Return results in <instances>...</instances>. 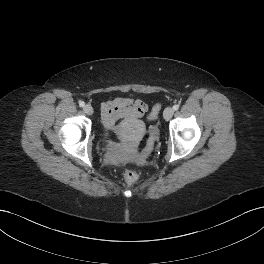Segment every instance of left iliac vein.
Wrapping results in <instances>:
<instances>
[{"instance_id":"4c4485c4","label":"left iliac vein","mask_w":264,"mask_h":264,"mask_svg":"<svg viewBox=\"0 0 264 264\" xmlns=\"http://www.w3.org/2000/svg\"><path fill=\"white\" fill-rule=\"evenodd\" d=\"M174 114V109L172 107H167L165 110H164V113H163V116L166 120H169L171 119V117L173 116Z\"/></svg>"}]
</instances>
